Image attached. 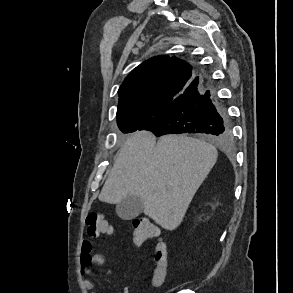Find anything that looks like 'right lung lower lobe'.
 Segmentation results:
<instances>
[{
	"label": "right lung lower lobe",
	"mask_w": 293,
	"mask_h": 293,
	"mask_svg": "<svg viewBox=\"0 0 293 293\" xmlns=\"http://www.w3.org/2000/svg\"><path fill=\"white\" fill-rule=\"evenodd\" d=\"M138 130H150L156 136L171 133H203L221 143L231 139V127L225 108L199 85L196 77L163 112Z\"/></svg>",
	"instance_id": "obj_1"
}]
</instances>
